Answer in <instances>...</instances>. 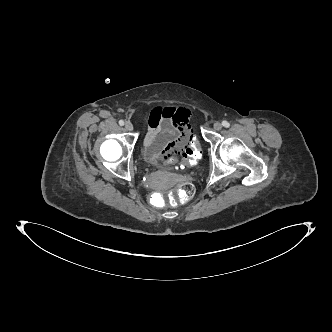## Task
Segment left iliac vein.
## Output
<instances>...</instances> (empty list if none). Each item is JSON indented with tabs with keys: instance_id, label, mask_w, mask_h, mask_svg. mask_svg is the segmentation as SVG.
<instances>
[{
	"instance_id": "4c4485c4",
	"label": "left iliac vein",
	"mask_w": 332,
	"mask_h": 332,
	"mask_svg": "<svg viewBox=\"0 0 332 332\" xmlns=\"http://www.w3.org/2000/svg\"><path fill=\"white\" fill-rule=\"evenodd\" d=\"M214 129L216 131H220L222 129V124L220 122H215L214 123Z\"/></svg>"
}]
</instances>
